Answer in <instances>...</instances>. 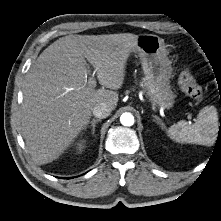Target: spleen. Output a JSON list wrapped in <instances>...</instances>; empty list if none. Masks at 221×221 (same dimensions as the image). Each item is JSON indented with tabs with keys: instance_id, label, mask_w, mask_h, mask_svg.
I'll return each mask as SVG.
<instances>
[{
	"instance_id": "spleen-1",
	"label": "spleen",
	"mask_w": 221,
	"mask_h": 221,
	"mask_svg": "<svg viewBox=\"0 0 221 221\" xmlns=\"http://www.w3.org/2000/svg\"><path fill=\"white\" fill-rule=\"evenodd\" d=\"M217 113L213 107H204L195 120L188 124L181 120L170 126L167 130L168 136L178 143H195L207 145L212 141V135L217 131Z\"/></svg>"
}]
</instances>
